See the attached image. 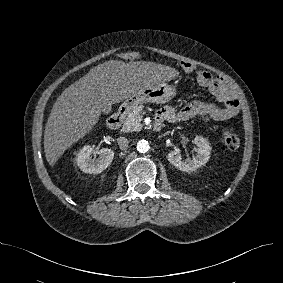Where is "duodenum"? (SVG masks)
Instances as JSON below:
<instances>
[{"label":"duodenum","instance_id":"obj_1","mask_svg":"<svg viewBox=\"0 0 283 283\" xmlns=\"http://www.w3.org/2000/svg\"><path fill=\"white\" fill-rule=\"evenodd\" d=\"M126 108H127L126 104L122 105L112 116L109 117L108 126L110 128L116 129L121 125L125 117ZM161 126H162V120L158 116H156L154 122V129L159 130Z\"/></svg>","mask_w":283,"mask_h":283}]
</instances>
